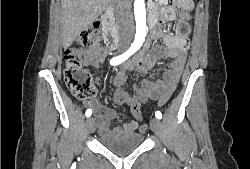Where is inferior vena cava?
<instances>
[{"label":"inferior vena cava","mask_w":250,"mask_h":169,"mask_svg":"<svg viewBox=\"0 0 250 169\" xmlns=\"http://www.w3.org/2000/svg\"><path fill=\"white\" fill-rule=\"evenodd\" d=\"M116 22L120 34L129 32L133 28L132 0H117Z\"/></svg>","instance_id":"obj_1"}]
</instances>
